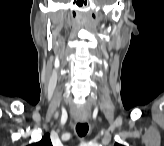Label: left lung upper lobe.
Wrapping results in <instances>:
<instances>
[{
    "instance_id": "left-lung-upper-lobe-1",
    "label": "left lung upper lobe",
    "mask_w": 164,
    "mask_h": 146,
    "mask_svg": "<svg viewBox=\"0 0 164 146\" xmlns=\"http://www.w3.org/2000/svg\"><path fill=\"white\" fill-rule=\"evenodd\" d=\"M115 146H121L120 144H118V143H115Z\"/></svg>"
}]
</instances>
